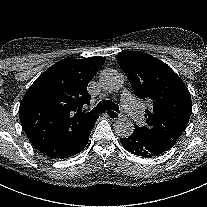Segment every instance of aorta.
I'll use <instances>...</instances> for the list:
<instances>
[{"label":"aorta","instance_id":"1","mask_svg":"<svg viewBox=\"0 0 207 207\" xmlns=\"http://www.w3.org/2000/svg\"><path fill=\"white\" fill-rule=\"evenodd\" d=\"M99 82L106 92L118 91L124 83L123 75L115 69L107 68L101 71ZM115 133L121 138H128L134 131V124L126 117L118 118L114 123Z\"/></svg>","mask_w":207,"mask_h":207}]
</instances>
